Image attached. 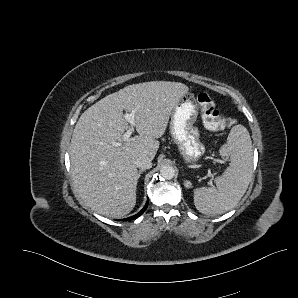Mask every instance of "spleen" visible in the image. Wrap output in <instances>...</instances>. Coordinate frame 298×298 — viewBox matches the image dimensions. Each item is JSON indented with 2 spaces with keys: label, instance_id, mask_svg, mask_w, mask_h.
Masks as SVG:
<instances>
[{
  "label": "spleen",
  "instance_id": "1",
  "mask_svg": "<svg viewBox=\"0 0 298 298\" xmlns=\"http://www.w3.org/2000/svg\"><path fill=\"white\" fill-rule=\"evenodd\" d=\"M222 157L230 158V165L215 178L216 187L194 190V205L205 215L222 214L238 204L245 194L252 176L253 149L250 134L241 124L234 125L227 142L219 149ZM192 186L190 181L184 183Z\"/></svg>",
  "mask_w": 298,
  "mask_h": 298
}]
</instances>
